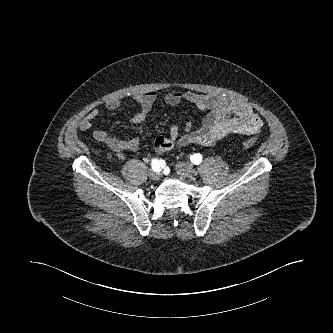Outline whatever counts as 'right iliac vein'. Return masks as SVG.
<instances>
[{
    "label": "right iliac vein",
    "instance_id": "right-iliac-vein-1",
    "mask_svg": "<svg viewBox=\"0 0 333 333\" xmlns=\"http://www.w3.org/2000/svg\"><path fill=\"white\" fill-rule=\"evenodd\" d=\"M149 177L152 179V180H159L160 177H161V174L159 171H156V170H150L149 171Z\"/></svg>",
    "mask_w": 333,
    "mask_h": 333
}]
</instances>
